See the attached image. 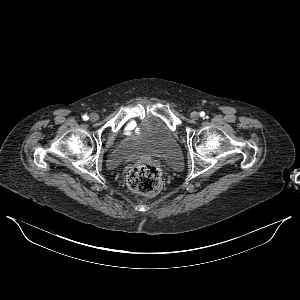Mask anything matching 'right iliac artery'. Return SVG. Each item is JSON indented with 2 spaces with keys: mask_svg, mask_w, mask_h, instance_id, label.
I'll return each mask as SVG.
<instances>
[{
  "mask_svg": "<svg viewBox=\"0 0 300 300\" xmlns=\"http://www.w3.org/2000/svg\"><path fill=\"white\" fill-rule=\"evenodd\" d=\"M82 118H83V120H84V121H86V120H88V119H89V117H88L87 115H83V117H82Z\"/></svg>",
  "mask_w": 300,
  "mask_h": 300,
  "instance_id": "right-iliac-artery-1",
  "label": "right iliac artery"
}]
</instances>
